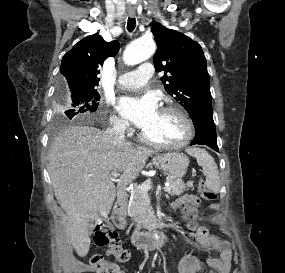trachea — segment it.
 <instances>
[{
	"label": "trachea",
	"instance_id": "3493384b",
	"mask_svg": "<svg viewBox=\"0 0 285 273\" xmlns=\"http://www.w3.org/2000/svg\"><path fill=\"white\" fill-rule=\"evenodd\" d=\"M136 27V20L135 18H128V21H127V30L129 32H132Z\"/></svg>",
	"mask_w": 285,
	"mask_h": 273
}]
</instances>
